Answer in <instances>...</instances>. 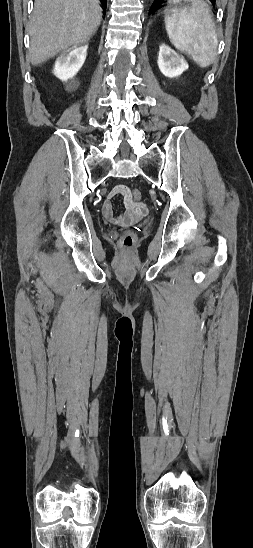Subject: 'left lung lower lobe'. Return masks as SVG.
<instances>
[{
	"instance_id": "0a47b994",
	"label": "left lung lower lobe",
	"mask_w": 253,
	"mask_h": 548,
	"mask_svg": "<svg viewBox=\"0 0 253 548\" xmlns=\"http://www.w3.org/2000/svg\"><path fill=\"white\" fill-rule=\"evenodd\" d=\"M163 0H154L152 6H151V9L150 10H154L155 8L158 7V5L162 2ZM213 4L215 3L216 0H210Z\"/></svg>"
}]
</instances>
